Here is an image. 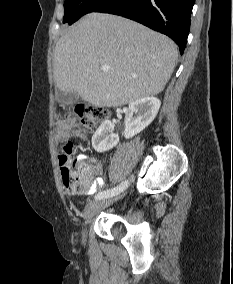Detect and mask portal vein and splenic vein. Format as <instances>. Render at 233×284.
I'll return each instance as SVG.
<instances>
[{
	"mask_svg": "<svg viewBox=\"0 0 233 284\" xmlns=\"http://www.w3.org/2000/svg\"><path fill=\"white\" fill-rule=\"evenodd\" d=\"M102 71H109L110 67L108 65H102L101 67Z\"/></svg>",
	"mask_w": 233,
	"mask_h": 284,
	"instance_id": "18ae733b",
	"label": "portal vein and splenic vein"
}]
</instances>
